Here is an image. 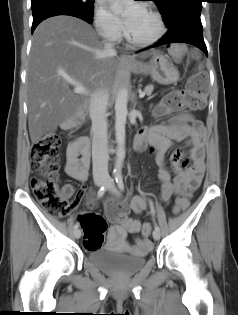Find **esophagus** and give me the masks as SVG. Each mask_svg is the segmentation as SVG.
<instances>
[{"label": "esophagus", "instance_id": "esophagus-1", "mask_svg": "<svg viewBox=\"0 0 238 315\" xmlns=\"http://www.w3.org/2000/svg\"><path fill=\"white\" fill-rule=\"evenodd\" d=\"M120 59H121L122 61H125V62H131V61H132V59H131L128 55H126V54H122V55L120 56Z\"/></svg>", "mask_w": 238, "mask_h": 315}]
</instances>
